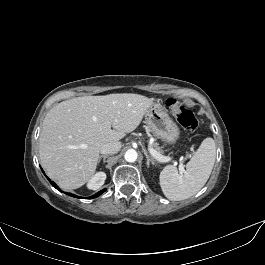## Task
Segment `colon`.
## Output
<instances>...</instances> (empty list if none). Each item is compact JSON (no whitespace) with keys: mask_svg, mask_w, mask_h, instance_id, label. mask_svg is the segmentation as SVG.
Masks as SVG:
<instances>
[{"mask_svg":"<svg viewBox=\"0 0 265 265\" xmlns=\"http://www.w3.org/2000/svg\"><path fill=\"white\" fill-rule=\"evenodd\" d=\"M167 106L175 115L178 123L187 131L194 132L198 128L199 122L194 112L182 105L175 97H170L166 101Z\"/></svg>","mask_w":265,"mask_h":265,"instance_id":"colon-1","label":"colon"}]
</instances>
